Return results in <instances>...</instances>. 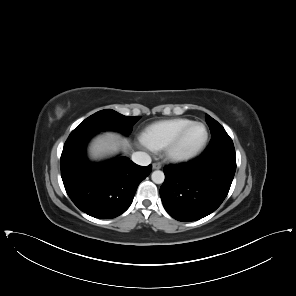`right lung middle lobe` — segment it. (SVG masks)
<instances>
[{"instance_id": "obj_1", "label": "right lung middle lobe", "mask_w": 296, "mask_h": 296, "mask_svg": "<svg viewBox=\"0 0 296 296\" xmlns=\"http://www.w3.org/2000/svg\"><path fill=\"white\" fill-rule=\"evenodd\" d=\"M140 119V116H124L114 110L105 109L86 118L73 133L99 132L114 130L128 135L132 132L133 125Z\"/></svg>"}]
</instances>
